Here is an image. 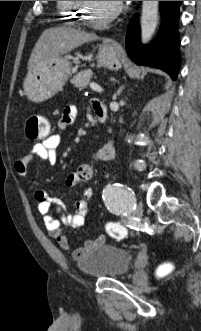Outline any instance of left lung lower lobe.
I'll use <instances>...</instances> for the list:
<instances>
[{
  "instance_id": "obj_1",
  "label": "left lung lower lobe",
  "mask_w": 201,
  "mask_h": 331,
  "mask_svg": "<svg viewBox=\"0 0 201 331\" xmlns=\"http://www.w3.org/2000/svg\"><path fill=\"white\" fill-rule=\"evenodd\" d=\"M182 1H160L162 25L158 38L151 45L140 43L138 19L134 17L128 27L126 48L129 57L140 65L158 67L176 79L179 65V34L177 24Z\"/></svg>"
}]
</instances>
